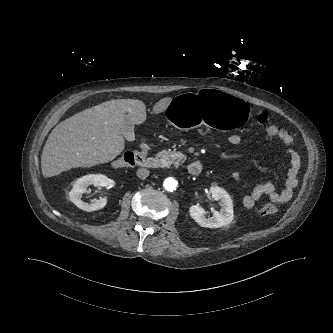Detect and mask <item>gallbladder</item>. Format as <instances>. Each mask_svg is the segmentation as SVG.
I'll return each instance as SVG.
<instances>
[{
  "label": "gallbladder",
  "mask_w": 333,
  "mask_h": 333,
  "mask_svg": "<svg viewBox=\"0 0 333 333\" xmlns=\"http://www.w3.org/2000/svg\"><path fill=\"white\" fill-rule=\"evenodd\" d=\"M121 133L128 141H134L135 140V134H134V122L132 121L131 117L129 115H126L121 128Z\"/></svg>",
  "instance_id": "bac80fb5"
}]
</instances>
